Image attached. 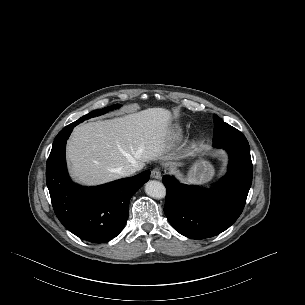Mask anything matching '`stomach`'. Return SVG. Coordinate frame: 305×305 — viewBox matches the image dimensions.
Segmentation results:
<instances>
[{
  "instance_id": "1",
  "label": "stomach",
  "mask_w": 305,
  "mask_h": 305,
  "mask_svg": "<svg viewBox=\"0 0 305 305\" xmlns=\"http://www.w3.org/2000/svg\"><path fill=\"white\" fill-rule=\"evenodd\" d=\"M214 175L212 165L205 159L200 158L188 170L186 181L189 183L201 184L209 181Z\"/></svg>"
}]
</instances>
